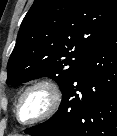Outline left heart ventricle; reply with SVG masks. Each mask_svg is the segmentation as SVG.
<instances>
[{
	"label": "left heart ventricle",
	"instance_id": "left-heart-ventricle-1",
	"mask_svg": "<svg viewBox=\"0 0 117 136\" xmlns=\"http://www.w3.org/2000/svg\"><path fill=\"white\" fill-rule=\"evenodd\" d=\"M49 95L42 89L33 90L26 95L20 106V118L24 121L35 118L45 111Z\"/></svg>",
	"mask_w": 117,
	"mask_h": 136
}]
</instances>
